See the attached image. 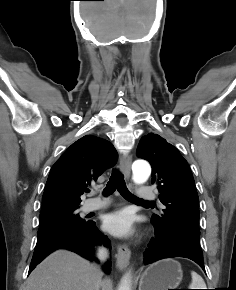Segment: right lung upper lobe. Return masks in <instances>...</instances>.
I'll return each instance as SVG.
<instances>
[{"instance_id":"obj_1","label":"right lung upper lobe","mask_w":236,"mask_h":290,"mask_svg":"<svg viewBox=\"0 0 236 290\" xmlns=\"http://www.w3.org/2000/svg\"><path fill=\"white\" fill-rule=\"evenodd\" d=\"M117 151L102 138L86 135L54 163L46 182L41 211L75 207L87 185L117 161Z\"/></svg>"}]
</instances>
